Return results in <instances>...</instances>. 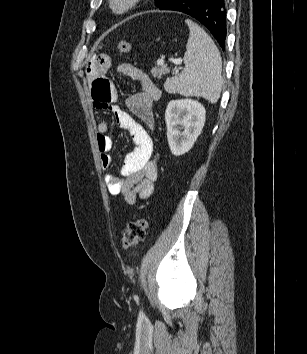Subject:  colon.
I'll list each match as a JSON object with an SVG mask.
<instances>
[{"label": "colon", "instance_id": "colon-1", "mask_svg": "<svg viewBox=\"0 0 307 354\" xmlns=\"http://www.w3.org/2000/svg\"><path fill=\"white\" fill-rule=\"evenodd\" d=\"M118 49L122 54L131 52L132 46L128 41H120ZM148 223L145 218H138L128 223L122 233V243L125 247L130 248L140 243L146 236Z\"/></svg>", "mask_w": 307, "mask_h": 354}]
</instances>
